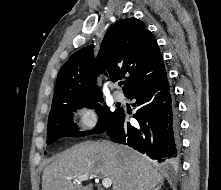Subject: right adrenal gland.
I'll return each instance as SVG.
<instances>
[{"label":"right adrenal gland","instance_id":"right-adrenal-gland-1","mask_svg":"<svg viewBox=\"0 0 221 190\" xmlns=\"http://www.w3.org/2000/svg\"><path fill=\"white\" fill-rule=\"evenodd\" d=\"M161 186H158L157 188H155L154 190H159Z\"/></svg>","mask_w":221,"mask_h":190}]
</instances>
